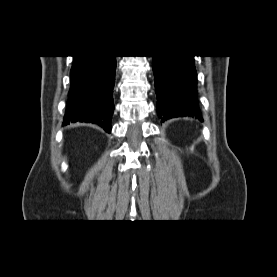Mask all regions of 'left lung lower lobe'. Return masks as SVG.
<instances>
[{"instance_id": "obj_1", "label": "left lung lower lobe", "mask_w": 277, "mask_h": 277, "mask_svg": "<svg viewBox=\"0 0 277 277\" xmlns=\"http://www.w3.org/2000/svg\"><path fill=\"white\" fill-rule=\"evenodd\" d=\"M153 71L157 112L162 121L182 116L202 121L197 101L194 56H154Z\"/></svg>"}]
</instances>
